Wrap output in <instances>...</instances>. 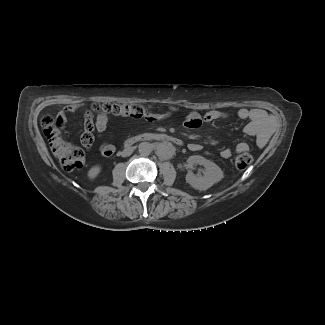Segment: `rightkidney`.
<instances>
[{"mask_svg": "<svg viewBox=\"0 0 325 325\" xmlns=\"http://www.w3.org/2000/svg\"><path fill=\"white\" fill-rule=\"evenodd\" d=\"M101 166L99 165H96V166H93L89 171H88V178L89 179H95L99 173L101 172Z\"/></svg>", "mask_w": 325, "mask_h": 325, "instance_id": "ca27d5eb", "label": "right kidney"}]
</instances>
